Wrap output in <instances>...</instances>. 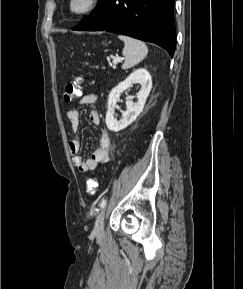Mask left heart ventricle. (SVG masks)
<instances>
[{
    "label": "left heart ventricle",
    "instance_id": "obj_1",
    "mask_svg": "<svg viewBox=\"0 0 243 289\" xmlns=\"http://www.w3.org/2000/svg\"><path fill=\"white\" fill-rule=\"evenodd\" d=\"M82 4V2H81V0H79L78 2H77V6H80Z\"/></svg>",
    "mask_w": 243,
    "mask_h": 289
}]
</instances>
